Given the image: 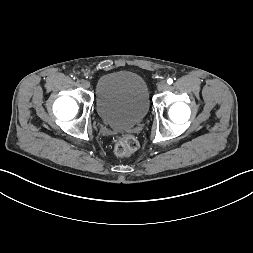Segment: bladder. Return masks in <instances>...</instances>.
Segmentation results:
<instances>
[{
  "label": "bladder",
  "instance_id": "31cf9c89",
  "mask_svg": "<svg viewBox=\"0 0 253 253\" xmlns=\"http://www.w3.org/2000/svg\"><path fill=\"white\" fill-rule=\"evenodd\" d=\"M149 92L137 73L121 71L101 76L95 87V105L100 119L117 130L139 124L149 110Z\"/></svg>",
  "mask_w": 253,
  "mask_h": 253
}]
</instances>
